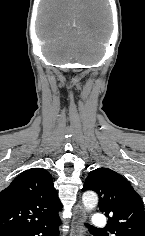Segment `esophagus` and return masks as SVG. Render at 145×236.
I'll list each match as a JSON object with an SVG mask.
<instances>
[{
	"label": "esophagus",
	"mask_w": 145,
	"mask_h": 236,
	"mask_svg": "<svg viewBox=\"0 0 145 236\" xmlns=\"http://www.w3.org/2000/svg\"><path fill=\"white\" fill-rule=\"evenodd\" d=\"M84 218H85L84 207L81 203H78L74 207V215L72 220L70 236H82Z\"/></svg>",
	"instance_id": "obj_1"
}]
</instances>
